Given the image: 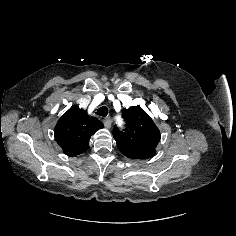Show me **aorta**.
Here are the masks:
<instances>
[{"label": "aorta", "mask_w": 236, "mask_h": 236, "mask_svg": "<svg viewBox=\"0 0 236 236\" xmlns=\"http://www.w3.org/2000/svg\"><path fill=\"white\" fill-rule=\"evenodd\" d=\"M118 124H119V125H122V124H123V119H122V118H119V119H118Z\"/></svg>", "instance_id": "obj_1"}]
</instances>
